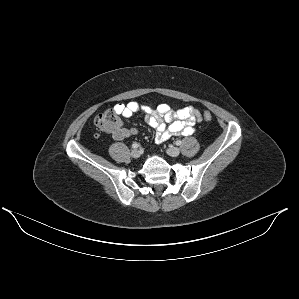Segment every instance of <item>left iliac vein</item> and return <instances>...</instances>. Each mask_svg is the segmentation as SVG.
<instances>
[{"instance_id":"left-iliac-vein-1","label":"left iliac vein","mask_w":299,"mask_h":299,"mask_svg":"<svg viewBox=\"0 0 299 299\" xmlns=\"http://www.w3.org/2000/svg\"><path fill=\"white\" fill-rule=\"evenodd\" d=\"M166 152L168 155H170L172 157H177L180 154V149L177 147L171 146L166 150Z\"/></svg>"}]
</instances>
